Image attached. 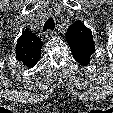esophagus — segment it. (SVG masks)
Instances as JSON below:
<instances>
[{"instance_id": "esophagus-1", "label": "esophagus", "mask_w": 113, "mask_h": 113, "mask_svg": "<svg viewBox=\"0 0 113 113\" xmlns=\"http://www.w3.org/2000/svg\"><path fill=\"white\" fill-rule=\"evenodd\" d=\"M55 35H56V32L52 31V30H48L47 32H45V38H47V39H50Z\"/></svg>"}]
</instances>
